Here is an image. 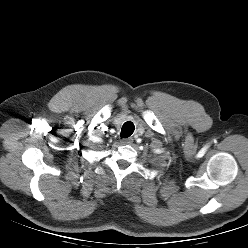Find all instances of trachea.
Segmentation results:
<instances>
[{
	"mask_svg": "<svg viewBox=\"0 0 248 248\" xmlns=\"http://www.w3.org/2000/svg\"><path fill=\"white\" fill-rule=\"evenodd\" d=\"M135 126L132 122H125L121 129V138H128L133 134Z\"/></svg>",
	"mask_w": 248,
	"mask_h": 248,
	"instance_id": "1",
	"label": "trachea"
}]
</instances>
